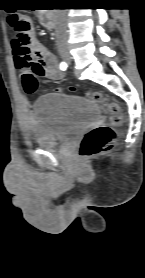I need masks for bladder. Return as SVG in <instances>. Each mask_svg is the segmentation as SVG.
<instances>
[{
  "mask_svg": "<svg viewBox=\"0 0 145 278\" xmlns=\"http://www.w3.org/2000/svg\"><path fill=\"white\" fill-rule=\"evenodd\" d=\"M33 116V144L45 150H55L93 124L100 116V109L90 98L49 93L35 101Z\"/></svg>",
  "mask_w": 145,
  "mask_h": 278,
  "instance_id": "obj_1",
  "label": "bladder"
}]
</instances>
